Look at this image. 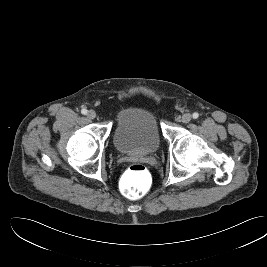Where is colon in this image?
I'll return each instance as SVG.
<instances>
[{
	"instance_id": "colon-1",
	"label": "colon",
	"mask_w": 267,
	"mask_h": 267,
	"mask_svg": "<svg viewBox=\"0 0 267 267\" xmlns=\"http://www.w3.org/2000/svg\"><path fill=\"white\" fill-rule=\"evenodd\" d=\"M151 186V175L141 163L132 164L120 180V190L123 196L137 199L145 195Z\"/></svg>"
}]
</instances>
